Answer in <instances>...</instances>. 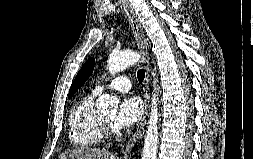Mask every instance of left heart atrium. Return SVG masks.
Here are the masks:
<instances>
[{
  "label": "left heart atrium",
  "mask_w": 253,
  "mask_h": 159,
  "mask_svg": "<svg viewBox=\"0 0 253 159\" xmlns=\"http://www.w3.org/2000/svg\"><path fill=\"white\" fill-rule=\"evenodd\" d=\"M142 113L141 100L136 96H126L120 103L113 125L116 129L132 127L140 120Z\"/></svg>",
  "instance_id": "left-heart-atrium-1"
}]
</instances>
